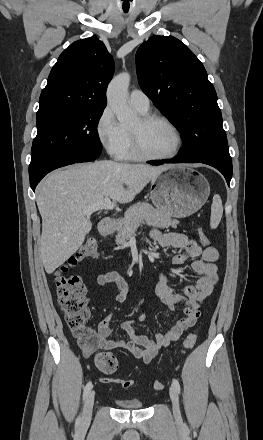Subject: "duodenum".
I'll return each mask as SVG.
<instances>
[{
  "label": "duodenum",
  "mask_w": 263,
  "mask_h": 440,
  "mask_svg": "<svg viewBox=\"0 0 263 440\" xmlns=\"http://www.w3.org/2000/svg\"><path fill=\"white\" fill-rule=\"evenodd\" d=\"M112 225V219L110 217H104L99 222V231L101 234L107 235Z\"/></svg>",
  "instance_id": "duodenum-1"
}]
</instances>
